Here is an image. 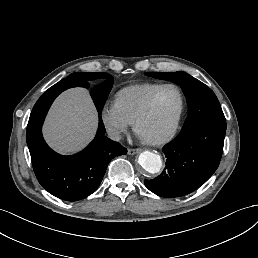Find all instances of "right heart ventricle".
Masks as SVG:
<instances>
[{"mask_svg": "<svg viewBox=\"0 0 258 258\" xmlns=\"http://www.w3.org/2000/svg\"><path fill=\"white\" fill-rule=\"evenodd\" d=\"M158 86L160 85L154 83H144L125 87L116 94L114 104L125 119L132 124L142 110L148 96Z\"/></svg>", "mask_w": 258, "mask_h": 258, "instance_id": "e07e8e85", "label": "right heart ventricle"}]
</instances>
